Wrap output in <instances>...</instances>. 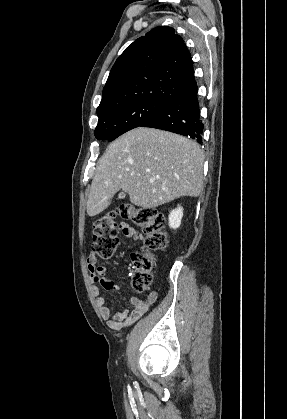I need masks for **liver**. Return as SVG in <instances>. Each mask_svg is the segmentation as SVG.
I'll return each instance as SVG.
<instances>
[{
  "mask_svg": "<svg viewBox=\"0 0 287 419\" xmlns=\"http://www.w3.org/2000/svg\"><path fill=\"white\" fill-rule=\"evenodd\" d=\"M204 155L193 140L167 131L138 127L107 147L98 161L88 200L90 217L103 212L117 191L150 209L203 190Z\"/></svg>",
  "mask_w": 287,
  "mask_h": 419,
  "instance_id": "obj_1",
  "label": "liver"
}]
</instances>
